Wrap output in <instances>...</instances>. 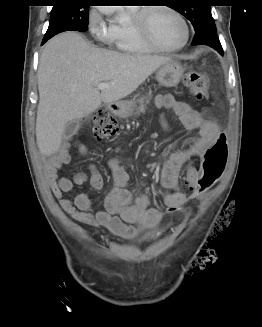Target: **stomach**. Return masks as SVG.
<instances>
[{"mask_svg":"<svg viewBox=\"0 0 262 327\" xmlns=\"http://www.w3.org/2000/svg\"><path fill=\"white\" fill-rule=\"evenodd\" d=\"M182 65L176 61H171L162 65L156 72V79L160 85L166 87L176 86L183 75ZM134 101H122L115 103L111 108L112 112L120 117H128L133 111Z\"/></svg>","mask_w":262,"mask_h":327,"instance_id":"obj_1","label":"stomach"}]
</instances>
